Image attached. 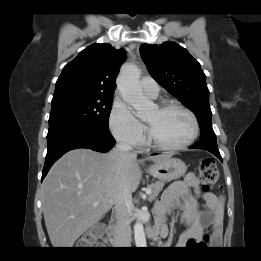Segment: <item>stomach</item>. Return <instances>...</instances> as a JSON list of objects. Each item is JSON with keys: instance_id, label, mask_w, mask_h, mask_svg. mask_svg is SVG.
Here are the masks:
<instances>
[{"instance_id": "stomach-1", "label": "stomach", "mask_w": 261, "mask_h": 261, "mask_svg": "<svg viewBox=\"0 0 261 261\" xmlns=\"http://www.w3.org/2000/svg\"><path fill=\"white\" fill-rule=\"evenodd\" d=\"M187 171V166L179 158L168 156L163 160L150 166L148 172L160 181H172L183 176Z\"/></svg>"}]
</instances>
